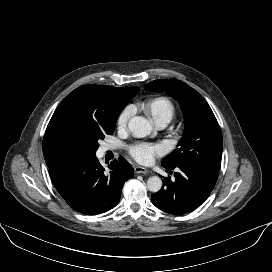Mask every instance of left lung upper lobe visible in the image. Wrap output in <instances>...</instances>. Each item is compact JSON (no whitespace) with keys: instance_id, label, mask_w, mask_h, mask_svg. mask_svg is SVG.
I'll return each mask as SVG.
<instances>
[{"instance_id":"1","label":"left lung upper lobe","mask_w":272,"mask_h":272,"mask_svg":"<svg viewBox=\"0 0 272 272\" xmlns=\"http://www.w3.org/2000/svg\"><path fill=\"white\" fill-rule=\"evenodd\" d=\"M145 89L173 96L184 114L183 136L177 149L162 160V165H188L218 176L223 139L207 101L195 89L177 79L155 80L146 84Z\"/></svg>"}]
</instances>
